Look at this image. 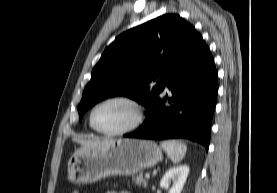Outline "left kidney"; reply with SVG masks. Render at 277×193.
<instances>
[{
    "label": "left kidney",
    "mask_w": 277,
    "mask_h": 193,
    "mask_svg": "<svg viewBox=\"0 0 277 193\" xmlns=\"http://www.w3.org/2000/svg\"><path fill=\"white\" fill-rule=\"evenodd\" d=\"M189 174V166L186 164L179 165L176 167L170 168L160 181V186L167 189L170 182H173L172 187L168 193H181L184 184L187 180Z\"/></svg>",
    "instance_id": "obj_1"
}]
</instances>
